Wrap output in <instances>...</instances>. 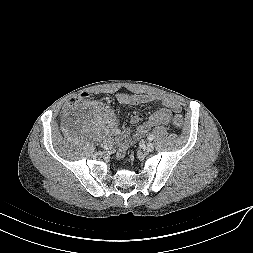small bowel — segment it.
Returning a JSON list of instances; mask_svg holds the SVG:
<instances>
[{
    "instance_id": "obj_1",
    "label": "small bowel",
    "mask_w": 253,
    "mask_h": 253,
    "mask_svg": "<svg viewBox=\"0 0 253 253\" xmlns=\"http://www.w3.org/2000/svg\"><path fill=\"white\" fill-rule=\"evenodd\" d=\"M117 100L122 105L132 106H138L154 101H161L163 104L162 108L152 113L144 123L137 127L133 135L130 128H125L123 130V135L117 139L119 150L116 156L118 159L125 155L127 148L131 144L132 138L141 139L153 127L168 124L171 113H178L181 111V104L179 101L166 96H158L154 94H119ZM139 120L140 119L137 115H133L130 122L135 125Z\"/></svg>"
}]
</instances>
